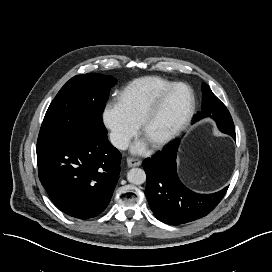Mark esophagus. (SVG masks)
Instances as JSON below:
<instances>
[{
    "label": "esophagus",
    "instance_id": "34e87169",
    "mask_svg": "<svg viewBox=\"0 0 272 272\" xmlns=\"http://www.w3.org/2000/svg\"><path fill=\"white\" fill-rule=\"evenodd\" d=\"M127 165L129 167H136L141 165V160L138 158H128L127 159Z\"/></svg>",
    "mask_w": 272,
    "mask_h": 272
}]
</instances>
